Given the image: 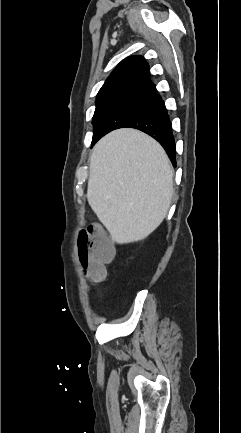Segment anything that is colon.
Returning <instances> with one entry per match:
<instances>
[{"instance_id": "5ec220e1", "label": "colon", "mask_w": 241, "mask_h": 433, "mask_svg": "<svg viewBox=\"0 0 241 433\" xmlns=\"http://www.w3.org/2000/svg\"><path fill=\"white\" fill-rule=\"evenodd\" d=\"M77 253L81 261L77 264V271L85 272L89 268L95 280H102L105 277L104 264L112 259L114 249L112 241L102 230L93 235V229H88L79 235Z\"/></svg>"}]
</instances>
